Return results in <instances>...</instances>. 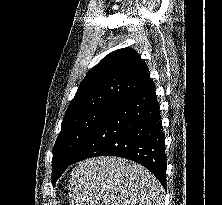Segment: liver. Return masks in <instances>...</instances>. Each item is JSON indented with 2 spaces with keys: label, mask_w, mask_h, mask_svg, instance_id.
<instances>
[{
  "label": "liver",
  "mask_w": 222,
  "mask_h": 205,
  "mask_svg": "<svg viewBox=\"0 0 222 205\" xmlns=\"http://www.w3.org/2000/svg\"><path fill=\"white\" fill-rule=\"evenodd\" d=\"M163 191L143 166L113 156L79 162L69 181L70 205H163Z\"/></svg>",
  "instance_id": "6515ba94"
}]
</instances>
